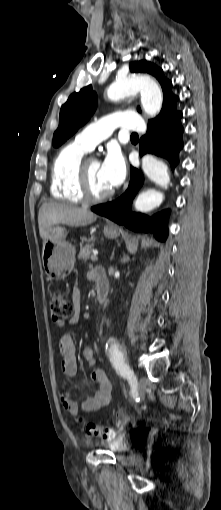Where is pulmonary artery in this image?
Here are the masks:
<instances>
[{
  "mask_svg": "<svg viewBox=\"0 0 221 510\" xmlns=\"http://www.w3.org/2000/svg\"><path fill=\"white\" fill-rule=\"evenodd\" d=\"M118 127L141 132L145 129V124L135 112H116L86 126L76 135L75 141L90 151Z\"/></svg>",
  "mask_w": 221,
  "mask_h": 510,
  "instance_id": "pulmonary-artery-1",
  "label": "pulmonary artery"
}]
</instances>
